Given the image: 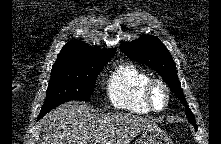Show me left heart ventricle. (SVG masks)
<instances>
[{"instance_id": "left-heart-ventricle-1", "label": "left heart ventricle", "mask_w": 221, "mask_h": 144, "mask_svg": "<svg viewBox=\"0 0 221 144\" xmlns=\"http://www.w3.org/2000/svg\"><path fill=\"white\" fill-rule=\"evenodd\" d=\"M153 100L156 107L161 108L165 104V94L160 87H156L153 93Z\"/></svg>"}]
</instances>
